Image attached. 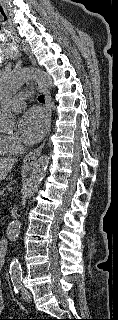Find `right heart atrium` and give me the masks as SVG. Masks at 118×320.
Returning a JSON list of instances; mask_svg holds the SVG:
<instances>
[{
  "instance_id": "right-heart-atrium-1",
  "label": "right heart atrium",
  "mask_w": 118,
  "mask_h": 320,
  "mask_svg": "<svg viewBox=\"0 0 118 320\" xmlns=\"http://www.w3.org/2000/svg\"><path fill=\"white\" fill-rule=\"evenodd\" d=\"M8 147L11 152H17L21 149V141L16 136H5Z\"/></svg>"
}]
</instances>
